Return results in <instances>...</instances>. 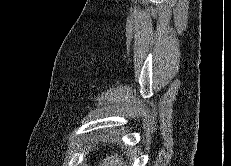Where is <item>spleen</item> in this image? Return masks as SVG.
<instances>
[{"mask_svg":"<svg viewBox=\"0 0 231 166\" xmlns=\"http://www.w3.org/2000/svg\"><path fill=\"white\" fill-rule=\"evenodd\" d=\"M101 166H127V165L123 162L122 158H120L117 154H115L104 159Z\"/></svg>","mask_w":231,"mask_h":166,"instance_id":"spleen-1","label":"spleen"}]
</instances>
